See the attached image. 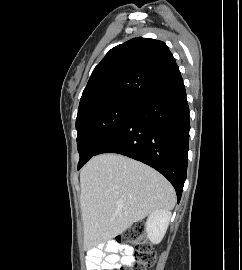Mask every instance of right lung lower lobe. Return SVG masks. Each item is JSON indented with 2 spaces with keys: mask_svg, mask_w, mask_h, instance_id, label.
<instances>
[{
  "mask_svg": "<svg viewBox=\"0 0 242 270\" xmlns=\"http://www.w3.org/2000/svg\"><path fill=\"white\" fill-rule=\"evenodd\" d=\"M189 130V107L180 74L137 101L94 155L119 153L155 168L174 186L179 202L186 179ZM86 162L78 163V169Z\"/></svg>",
  "mask_w": 242,
  "mask_h": 270,
  "instance_id": "1",
  "label": "right lung lower lobe"
}]
</instances>
